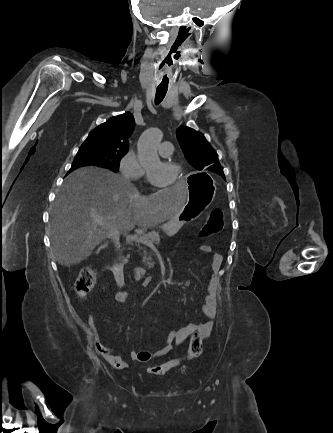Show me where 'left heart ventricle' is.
Instances as JSON below:
<instances>
[{
    "label": "left heart ventricle",
    "instance_id": "b2bd125f",
    "mask_svg": "<svg viewBox=\"0 0 333 433\" xmlns=\"http://www.w3.org/2000/svg\"><path fill=\"white\" fill-rule=\"evenodd\" d=\"M151 178L158 184L166 185L173 181L175 171L173 168L165 165L162 161L157 160L147 166Z\"/></svg>",
    "mask_w": 333,
    "mask_h": 433
}]
</instances>
